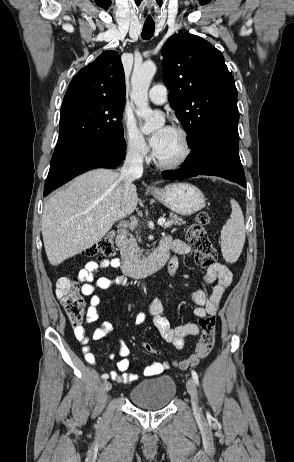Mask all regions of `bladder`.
<instances>
[{
	"label": "bladder",
	"mask_w": 294,
	"mask_h": 462,
	"mask_svg": "<svg viewBox=\"0 0 294 462\" xmlns=\"http://www.w3.org/2000/svg\"><path fill=\"white\" fill-rule=\"evenodd\" d=\"M176 393L177 385L173 377L161 375L135 385L129 393V400L144 409H159L166 407Z\"/></svg>",
	"instance_id": "31cf9c89"
}]
</instances>
